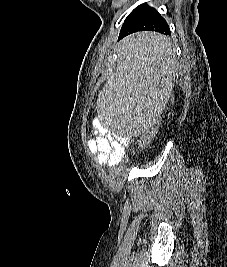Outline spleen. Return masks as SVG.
<instances>
[{"label":"spleen","mask_w":227,"mask_h":267,"mask_svg":"<svg viewBox=\"0 0 227 267\" xmlns=\"http://www.w3.org/2000/svg\"><path fill=\"white\" fill-rule=\"evenodd\" d=\"M120 63H110L98 93L99 115H160L174 86L175 54L166 37L155 33H141L127 38ZM146 104L147 106H130ZM153 116H100L104 129H115L119 137H141L149 129Z\"/></svg>","instance_id":"3e777b00"}]
</instances>
